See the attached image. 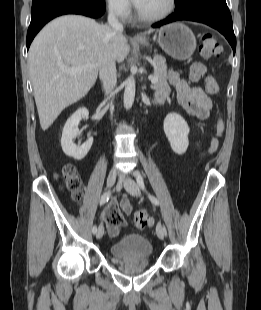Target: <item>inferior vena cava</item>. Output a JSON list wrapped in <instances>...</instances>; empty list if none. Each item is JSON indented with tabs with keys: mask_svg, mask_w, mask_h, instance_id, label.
Instances as JSON below:
<instances>
[{
	"mask_svg": "<svg viewBox=\"0 0 261 310\" xmlns=\"http://www.w3.org/2000/svg\"><path fill=\"white\" fill-rule=\"evenodd\" d=\"M108 24L115 32L122 33L123 25L118 21L116 13L113 9H110L109 11ZM99 77L103 83V89L105 94L109 95L113 91L117 83L115 60L108 59L104 62V64L100 68ZM112 111L113 109L111 105V113Z\"/></svg>",
	"mask_w": 261,
	"mask_h": 310,
	"instance_id": "obj_1",
	"label": "inferior vena cava"
}]
</instances>
